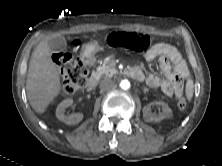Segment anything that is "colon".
Returning a JSON list of instances; mask_svg holds the SVG:
<instances>
[{
	"label": "colon",
	"mask_w": 222,
	"mask_h": 166,
	"mask_svg": "<svg viewBox=\"0 0 222 166\" xmlns=\"http://www.w3.org/2000/svg\"><path fill=\"white\" fill-rule=\"evenodd\" d=\"M108 44L116 48H127L134 51H143L150 45V38L139 33L115 32L108 36ZM64 84L63 90L67 95L80 92L87 82L86 65L79 59L74 58L69 53L60 52L54 56ZM177 106L184 110L187 106L186 100L182 97L178 99Z\"/></svg>",
	"instance_id": "colon-1"
}]
</instances>
